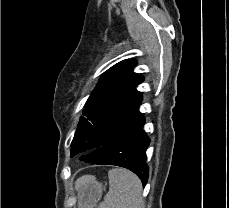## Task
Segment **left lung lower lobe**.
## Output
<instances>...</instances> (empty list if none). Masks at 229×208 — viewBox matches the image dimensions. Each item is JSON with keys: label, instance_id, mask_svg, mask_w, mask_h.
I'll return each instance as SVG.
<instances>
[{"label": "left lung lower lobe", "instance_id": "1", "mask_svg": "<svg viewBox=\"0 0 229 208\" xmlns=\"http://www.w3.org/2000/svg\"><path fill=\"white\" fill-rule=\"evenodd\" d=\"M143 116L131 128L99 131L71 149V157L97 148L81 160L99 165H116L134 172L145 186L148 182L146 150L150 139L143 130Z\"/></svg>", "mask_w": 229, "mask_h": 208}]
</instances>
